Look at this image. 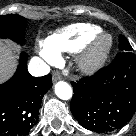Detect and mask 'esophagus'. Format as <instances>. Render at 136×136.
<instances>
[{"mask_svg":"<svg viewBox=\"0 0 136 136\" xmlns=\"http://www.w3.org/2000/svg\"><path fill=\"white\" fill-rule=\"evenodd\" d=\"M61 79V75L58 71H53L52 73V80L53 82H56Z\"/></svg>","mask_w":136,"mask_h":136,"instance_id":"34e87169","label":"esophagus"}]
</instances>
